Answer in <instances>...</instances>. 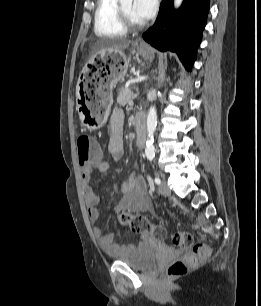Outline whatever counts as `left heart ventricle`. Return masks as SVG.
<instances>
[{
  "label": "left heart ventricle",
  "instance_id": "1",
  "mask_svg": "<svg viewBox=\"0 0 261 306\" xmlns=\"http://www.w3.org/2000/svg\"><path fill=\"white\" fill-rule=\"evenodd\" d=\"M133 0H125L121 5L127 15L134 21V22H142L140 19L136 17L133 10Z\"/></svg>",
  "mask_w": 261,
  "mask_h": 306
}]
</instances>
